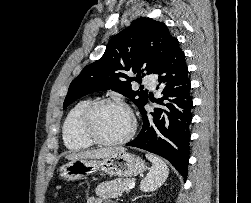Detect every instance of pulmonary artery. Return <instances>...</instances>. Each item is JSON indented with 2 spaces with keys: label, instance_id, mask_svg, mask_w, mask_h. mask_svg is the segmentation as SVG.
Returning <instances> with one entry per match:
<instances>
[{
  "label": "pulmonary artery",
  "instance_id": "pulmonary-artery-1",
  "mask_svg": "<svg viewBox=\"0 0 251 203\" xmlns=\"http://www.w3.org/2000/svg\"><path fill=\"white\" fill-rule=\"evenodd\" d=\"M143 81L145 84L149 85L151 88H155L156 85V79L151 74H146L143 78Z\"/></svg>",
  "mask_w": 251,
  "mask_h": 203
}]
</instances>
